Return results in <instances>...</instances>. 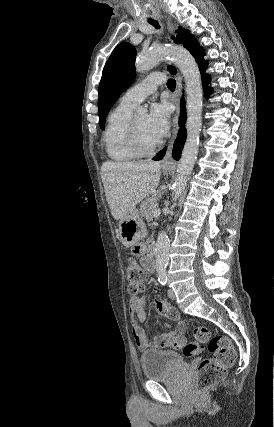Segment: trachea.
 <instances>
[{
  "label": "trachea",
  "instance_id": "trachea-1",
  "mask_svg": "<svg viewBox=\"0 0 274 427\" xmlns=\"http://www.w3.org/2000/svg\"><path fill=\"white\" fill-rule=\"evenodd\" d=\"M148 22L151 23V25H153L154 27L159 28L158 22H156V20L149 19ZM175 86V80L170 78L167 82V87L169 88V90H171V92H173L175 90Z\"/></svg>",
  "mask_w": 274,
  "mask_h": 427
}]
</instances>
